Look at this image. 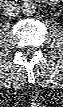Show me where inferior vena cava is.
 Here are the masks:
<instances>
[{"label": "inferior vena cava", "mask_w": 63, "mask_h": 107, "mask_svg": "<svg viewBox=\"0 0 63 107\" xmlns=\"http://www.w3.org/2000/svg\"><path fill=\"white\" fill-rule=\"evenodd\" d=\"M20 6L15 2H9L4 5V15L6 17H15L19 14Z\"/></svg>", "instance_id": "1"}]
</instances>
